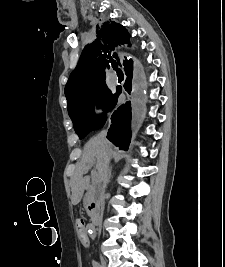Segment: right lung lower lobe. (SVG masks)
Masks as SVG:
<instances>
[{
  "label": "right lung lower lobe",
  "instance_id": "obj_1",
  "mask_svg": "<svg viewBox=\"0 0 225 267\" xmlns=\"http://www.w3.org/2000/svg\"><path fill=\"white\" fill-rule=\"evenodd\" d=\"M132 68H133L132 64H128L124 68L125 73L127 75V79H126V82L124 84V88L128 93H130L131 87H132V84H131ZM121 92H122L121 87H117V95L118 96L121 94ZM117 99H118V97H117ZM117 99L113 105V108L117 104ZM130 120H131V105H130V103H126L125 105L120 106L111 116L112 125L108 131L107 138L112 143H114L116 146H119L120 149H124V150L128 149L130 139H131L130 124H129ZM104 124H103V126H104Z\"/></svg>",
  "mask_w": 225,
  "mask_h": 267
}]
</instances>
